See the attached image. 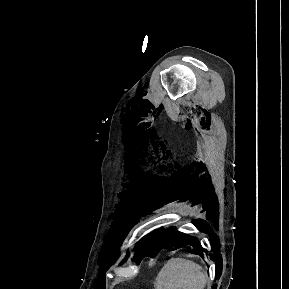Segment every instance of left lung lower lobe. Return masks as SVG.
Segmentation results:
<instances>
[{
	"label": "left lung lower lobe",
	"mask_w": 289,
	"mask_h": 289,
	"mask_svg": "<svg viewBox=\"0 0 289 289\" xmlns=\"http://www.w3.org/2000/svg\"><path fill=\"white\" fill-rule=\"evenodd\" d=\"M165 247L166 246H176V247H180L183 246L185 244H190L193 247L201 250V246L200 243L197 239L191 237V236H187L181 232H178L175 227L170 228L169 232L166 233L162 238Z\"/></svg>",
	"instance_id": "left-lung-lower-lobe-1"
}]
</instances>
